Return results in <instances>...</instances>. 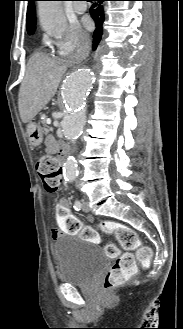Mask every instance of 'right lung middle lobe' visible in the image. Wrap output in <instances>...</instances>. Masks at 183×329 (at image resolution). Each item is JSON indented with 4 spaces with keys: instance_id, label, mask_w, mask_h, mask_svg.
<instances>
[{
    "instance_id": "obj_1",
    "label": "right lung middle lobe",
    "mask_w": 183,
    "mask_h": 329,
    "mask_svg": "<svg viewBox=\"0 0 183 329\" xmlns=\"http://www.w3.org/2000/svg\"><path fill=\"white\" fill-rule=\"evenodd\" d=\"M33 33H34V31L33 32H30L29 35H32Z\"/></svg>"
}]
</instances>
